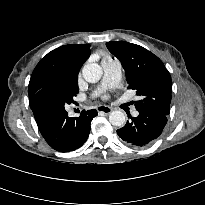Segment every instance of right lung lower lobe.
I'll use <instances>...</instances> for the list:
<instances>
[{"mask_svg":"<svg viewBox=\"0 0 205 205\" xmlns=\"http://www.w3.org/2000/svg\"><path fill=\"white\" fill-rule=\"evenodd\" d=\"M73 95L61 85L47 86L29 98L38 128L46 142L55 150L69 152L81 147L90 133V123L97 111H83L69 117L65 106L74 103Z\"/></svg>","mask_w":205,"mask_h":205,"instance_id":"98d812e1","label":"right lung lower lobe"}]
</instances>
